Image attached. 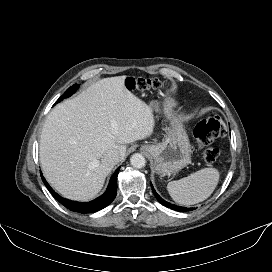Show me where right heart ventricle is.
<instances>
[{"label": "right heart ventricle", "mask_w": 272, "mask_h": 272, "mask_svg": "<svg viewBox=\"0 0 272 272\" xmlns=\"http://www.w3.org/2000/svg\"><path fill=\"white\" fill-rule=\"evenodd\" d=\"M169 105H173V103H172V102H170V103H169Z\"/></svg>", "instance_id": "right-heart-ventricle-1"}]
</instances>
